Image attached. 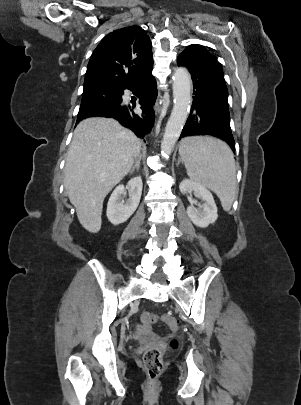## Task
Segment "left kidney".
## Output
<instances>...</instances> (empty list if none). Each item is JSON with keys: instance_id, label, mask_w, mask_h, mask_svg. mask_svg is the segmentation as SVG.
<instances>
[{"instance_id": "obj_1", "label": "left kidney", "mask_w": 301, "mask_h": 405, "mask_svg": "<svg viewBox=\"0 0 301 405\" xmlns=\"http://www.w3.org/2000/svg\"><path fill=\"white\" fill-rule=\"evenodd\" d=\"M179 189L182 194L194 192V195L203 201L198 208L192 205L187 208V215L196 226L206 228L217 220V206L211 192L205 186L185 179L180 183Z\"/></svg>"}]
</instances>
